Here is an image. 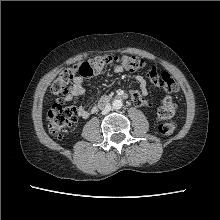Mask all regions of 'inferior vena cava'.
<instances>
[{
	"instance_id": "obj_1",
	"label": "inferior vena cava",
	"mask_w": 220,
	"mask_h": 220,
	"mask_svg": "<svg viewBox=\"0 0 220 220\" xmlns=\"http://www.w3.org/2000/svg\"><path fill=\"white\" fill-rule=\"evenodd\" d=\"M111 105L110 104H106L105 105V107L103 108V110H102V114H107V113H109L110 112V110H111Z\"/></svg>"
}]
</instances>
